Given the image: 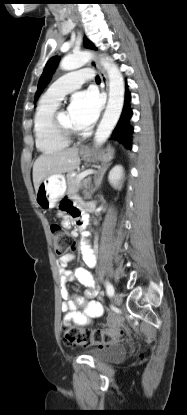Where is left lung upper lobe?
<instances>
[{
	"label": "left lung upper lobe",
	"instance_id": "left-lung-upper-lobe-1",
	"mask_svg": "<svg viewBox=\"0 0 187 415\" xmlns=\"http://www.w3.org/2000/svg\"><path fill=\"white\" fill-rule=\"evenodd\" d=\"M84 46L89 49H96L95 46L86 37L84 38ZM58 62H59V57L54 56L50 58L49 61L46 63L43 73L39 79L38 89L35 94V101L37 100L39 95L42 93L45 86L49 83L51 76Z\"/></svg>",
	"mask_w": 187,
	"mask_h": 415
}]
</instances>
